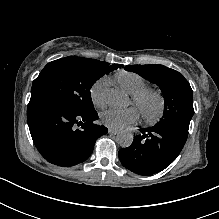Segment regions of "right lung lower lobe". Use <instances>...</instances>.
Masks as SVG:
<instances>
[{"label":"right lung lower lobe","mask_w":219,"mask_h":219,"mask_svg":"<svg viewBox=\"0 0 219 219\" xmlns=\"http://www.w3.org/2000/svg\"><path fill=\"white\" fill-rule=\"evenodd\" d=\"M97 112H79L55 99L33 97L27 122L33 142L50 163L69 167L91 155L95 141L108 132L97 125Z\"/></svg>","instance_id":"right-lung-lower-lobe-1"}]
</instances>
